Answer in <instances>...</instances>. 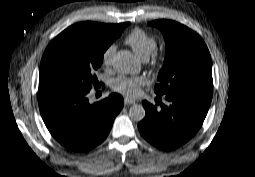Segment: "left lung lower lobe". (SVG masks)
Masks as SVG:
<instances>
[{
  "instance_id": "0a47b994",
  "label": "left lung lower lobe",
  "mask_w": 255,
  "mask_h": 177,
  "mask_svg": "<svg viewBox=\"0 0 255 177\" xmlns=\"http://www.w3.org/2000/svg\"><path fill=\"white\" fill-rule=\"evenodd\" d=\"M213 89L185 88L166 95L170 105L143 102L145 118L138 124L152 145L172 150L186 143L201 127L208 112Z\"/></svg>"
}]
</instances>
